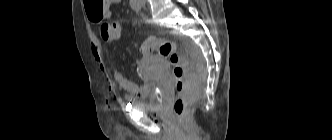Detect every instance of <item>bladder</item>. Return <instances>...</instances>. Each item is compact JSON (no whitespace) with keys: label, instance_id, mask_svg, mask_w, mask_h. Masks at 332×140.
<instances>
[{"label":"bladder","instance_id":"obj_1","mask_svg":"<svg viewBox=\"0 0 332 140\" xmlns=\"http://www.w3.org/2000/svg\"><path fill=\"white\" fill-rule=\"evenodd\" d=\"M163 98V93H161ZM133 105L142 110H157L159 108V98L155 91L149 93L143 100H134Z\"/></svg>","mask_w":332,"mask_h":140}]
</instances>
